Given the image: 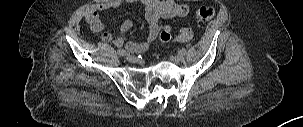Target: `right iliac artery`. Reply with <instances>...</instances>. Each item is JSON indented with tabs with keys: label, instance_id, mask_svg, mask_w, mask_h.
I'll list each match as a JSON object with an SVG mask.
<instances>
[{
	"label": "right iliac artery",
	"instance_id": "right-iliac-artery-1",
	"mask_svg": "<svg viewBox=\"0 0 303 127\" xmlns=\"http://www.w3.org/2000/svg\"><path fill=\"white\" fill-rule=\"evenodd\" d=\"M117 52L120 56H125L127 54L126 50L124 49H119Z\"/></svg>",
	"mask_w": 303,
	"mask_h": 127
}]
</instances>
